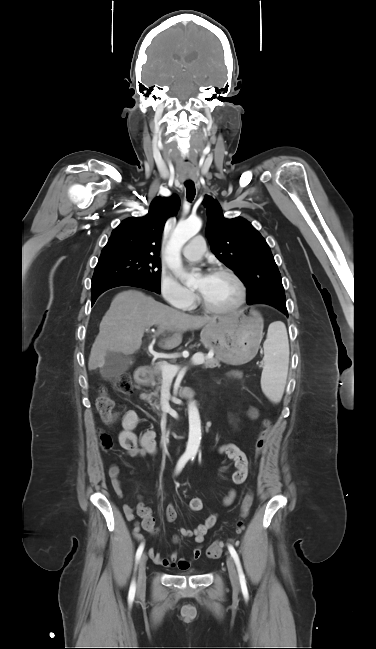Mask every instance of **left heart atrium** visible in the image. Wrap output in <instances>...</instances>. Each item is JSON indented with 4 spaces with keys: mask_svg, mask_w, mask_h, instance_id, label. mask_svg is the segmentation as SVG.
I'll return each mask as SVG.
<instances>
[{
    "mask_svg": "<svg viewBox=\"0 0 376 649\" xmlns=\"http://www.w3.org/2000/svg\"><path fill=\"white\" fill-rule=\"evenodd\" d=\"M207 277H208V275H204V276H203L204 279H206Z\"/></svg>",
    "mask_w": 376,
    "mask_h": 649,
    "instance_id": "1",
    "label": "left heart atrium"
}]
</instances>
